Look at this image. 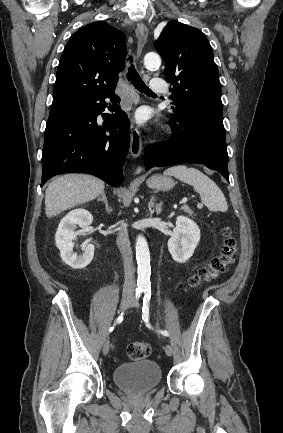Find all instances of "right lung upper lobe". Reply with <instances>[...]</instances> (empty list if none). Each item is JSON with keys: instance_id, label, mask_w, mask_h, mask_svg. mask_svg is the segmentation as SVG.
Returning <instances> with one entry per match:
<instances>
[{"instance_id": "obj_1", "label": "right lung upper lobe", "mask_w": 283, "mask_h": 433, "mask_svg": "<svg viewBox=\"0 0 283 433\" xmlns=\"http://www.w3.org/2000/svg\"><path fill=\"white\" fill-rule=\"evenodd\" d=\"M126 56L125 34L106 22H94L78 30L60 58L51 109L115 90Z\"/></svg>"}]
</instances>
